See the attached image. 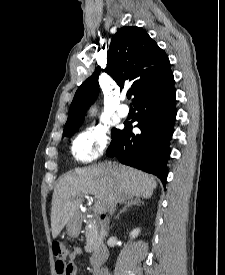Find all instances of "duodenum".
Instances as JSON below:
<instances>
[{
  "label": "duodenum",
  "instance_id": "duodenum-1",
  "mask_svg": "<svg viewBox=\"0 0 225 275\" xmlns=\"http://www.w3.org/2000/svg\"><path fill=\"white\" fill-rule=\"evenodd\" d=\"M97 232L101 235H104L107 232L106 224H105L103 218L100 219V224L97 228ZM107 257H108L107 249L103 246H99L96 254L91 257V263H92V268H93L94 273L99 272V270L101 269V267H102L104 261L107 259Z\"/></svg>",
  "mask_w": 225,
  "mask_h": 275
}]
</instances>
